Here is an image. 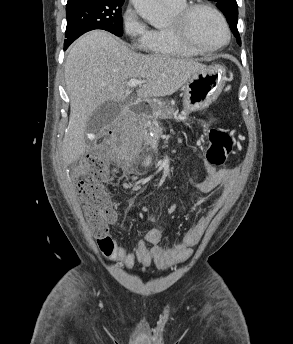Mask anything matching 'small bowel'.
Instances as JSON below:
<instances>
[{
    "label": "small bowel",
    "mask_w": 293,
    "mask_h": 344,
    "mask_svg": "<svg viewBox=\"0 0 293 344\" xmlns=\"http://www.w3.org/2000/svg\"><path fill=\"white\" fill-rule=\"evenodd\" d=\"M144 159H147V156H144ZM204 169L205 175L196 184L197 192L205 195L217 187H222V192L179 241L174 242L170 247H162L160 245L162 232L154 228L146 233L144 240L137 242L134 250L129 251L125 246L118 244L113 236L106 234L97 240L102 254L125 268H131L136 261L143 266L153 262L161 269L186 261L192 254V248L199 243L207 225L233 190L238 174L237 168L217 169L208 163L204 164ZM136 204L135 199L131 200V207H135Z\"/></svg>",
    "instance_id": "1"
}]
</instances>
